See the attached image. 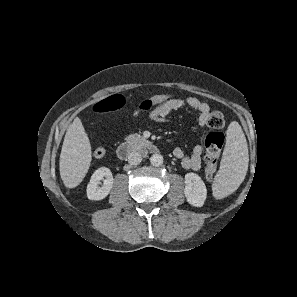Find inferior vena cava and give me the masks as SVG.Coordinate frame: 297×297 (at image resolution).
Listing matches in <instances>:
<instances>
[{
  "label": "inferior vena cava",
  "instance_id": "obj_1",
  "mask_svg": "<svg viewBox=\"0 0 297 297\" xmlns=\"http://www.w3.org/2000/svg\"><path fill=\"white\" fill-rule=\"evenodd\" d=\"M141 161L142 155L137 151H133L128 155V163L131 165H138Z\"/></svg>",
  "mask_w": 297,
  "mask_h": 297
}]
</instances>
